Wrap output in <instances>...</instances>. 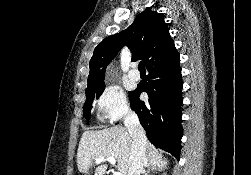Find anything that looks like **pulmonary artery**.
I'll list each match as a JSON object with an SVG mask.
<instances>
[{
	"instance_id": "e3ab8cb5",
	"label": "pulmonary artery",
	"mask_w": 251,
	"mask_h": 175,
	"mask_svg": "<svg viewBox=\"0 0 251 175\" xmlns=\"http://www.w3.org/2000/svg\"><path fill=\"white\" fill-rule=\"evenodd\" d=\"M133 77H134L135 79H138V78H139V75H138V74H134Z\"/></svg>"
}]
</instances>
